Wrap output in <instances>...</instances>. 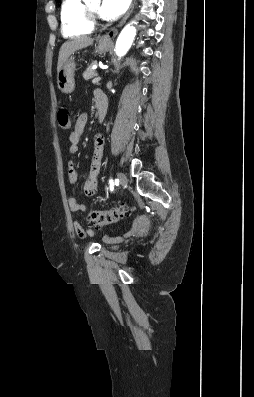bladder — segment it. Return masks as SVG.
<instances>
[{
	"instance_id": "31cf9c89",
	"label": "bladder",
	"mask_w": 254,
	"mask_h": 397,
	"mask_svg": "<svg viewBox=\"0 0 254 397\" xmlns=\"http://www.w3.org/2000/svg\"><path fill=\"white\" fill-rule=\"evenodd\" d=\"M116 246L112 245L111 248H115Z\"/></svg>"
}]
</instances>
